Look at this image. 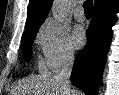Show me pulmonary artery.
Returning a JSON list of instances; mask_svg holds the SVG:
<instances>
[{
  "label": "pulmonary artery",
  "instance_id": "1",
  "mask_svg": "<svg viewBox=\"0 0 119 95\" xmlns=\"http://www.w3.org/2000/svg\"><path fill=\"white\" fill-rule=\"evenodd\" d=\"M74 16H75L77 21H80V22L84 21L85 20V14H84L83 8L77 7L75 10Z\"/></svg>",
  "mask_w": 119,
  "mask_h": 95
}]
</instances>
